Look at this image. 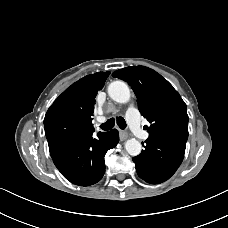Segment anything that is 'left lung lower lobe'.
<instances>
[{"label": "left lung lower lobe", "mask_w": 228, "mask_h": 228, "mask_svg": "<svg viewBox=\"0 0 228 228\" xmlns=\"http://www.w3.org/2000/svg\"><path fill=\"white\" fill-rule=\"evenodd\" d=\"M144 150L133 158L139 177L151 184L169 179L180 166L186 143L165 135L149 136Z\"/></svg>", "instance_id": "1"}]
</instances>
